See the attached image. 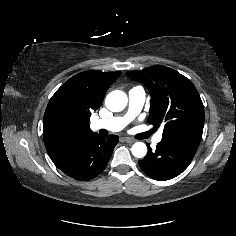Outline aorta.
Here are the masks:
<instances>
[{
    "mask_svg": "<svg viewBox=\"0 0 236 236\" xmlns=\"http://www.w3.org/2000/svg\"><path fill=\"white\" fill-rule=\"evenodd\" d=\"M128 102L127 95L120 90L110 92L105 99L106 107L112 112L122 111ZM132 155L136 158H143L147 154L146 144L143 142H136L131 148Z\"/></svg>",
    "mask_w": 236,
    "mask_h": 236,
    "instance_id": "1",
    "label": "aorta"
}]
</instances>
